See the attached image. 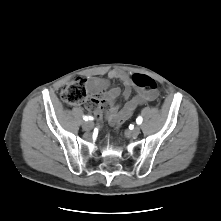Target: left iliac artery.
<instances>
[{"label": "left iliac artery", "instance_id": "44dca946", "mask_svg": "<svg viewBox=\"0 0 221 221\" xmlns=\"http://www.w3.org/2000/svg\"><path fill=\"white\" fill-rule=\"evenodd\" d=\"M142 121H143V119H142V117H140V116L136 119L137 124H141Z\"/></svg>", "mask_w": 221, "mask_h": 221}]
</instances>
